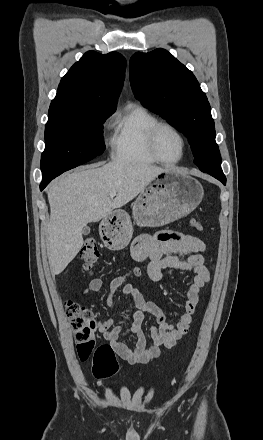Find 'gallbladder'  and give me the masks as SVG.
<instances>
[{
	"label": "gallbladder",
	"mask_w": 263,
	"mask_h": 440,
	"mask_svg": "<svg viewBox=\"0 0 263 440\" xmlns=\"http://www.w3.org/2000/svg\"><path fill=\"white\" fill-rule=\"evenodd\" d=\"M82 233H83V235H88L90 233V227L89 226H85L83 228Z\"/></svg>",
	"instance_id": "gallbladder-1"
}]
</instances>
